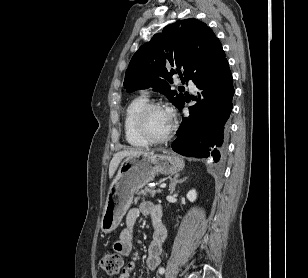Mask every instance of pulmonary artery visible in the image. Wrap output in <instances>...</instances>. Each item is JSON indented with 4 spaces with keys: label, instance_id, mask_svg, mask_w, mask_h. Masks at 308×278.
<instances>
[{
    "label": "pulmonary artery",
    "instance_id": "pulmonary-artery-1",
    "mask_svg": "<svg viewBox=\"0 0 308 278\" xmlns=\"http://www.w3.org/2000/svg\"><path fill=\"white\" fill-rule=\"evenodd\" d=\"M188 87L191 92H194L196 90V86L192 81H188Z\"/></svg>",
    "mask_w": 308,
    "mask_h": 278
}]
</instances>
